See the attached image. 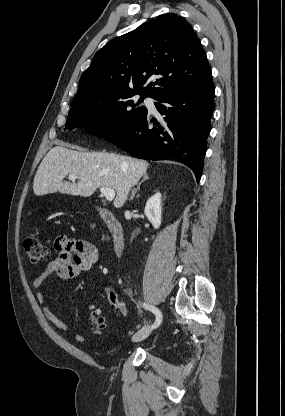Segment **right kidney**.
Masks as SVG:
<instances>
[{"mask_svg":"<svg viewBox=\"0 0 285 416\" xmlns=\"http://www.w3.org/2000/svg\"><path fill=\"white\" fill-rule=\"evenodd\" d=\"M161 198L160 192L151 196L144 210L149 222H151L155 230H158L159 226H161Z\"/></svg>","mask_w":285,"mask_h":416,"instance_id":"ca27d5eb","label":"right kidney"}]
</instances>
